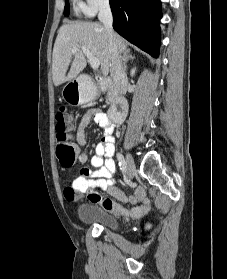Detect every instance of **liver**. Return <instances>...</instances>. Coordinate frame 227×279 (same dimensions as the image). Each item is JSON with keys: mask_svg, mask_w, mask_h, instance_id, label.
<instances>
[{"mask_svg": "<svg viewBox=\"0 0 227 279\" xmlns=\"http://www.w3.org/2000/svg\"><path fill=\"white\" fill-rule=\"evenodd\" d=\"M114 41L118 52L122 53L127 50L125 40L122 37L114 34ZM81 46L90 50L93 56L99 60L103 75H108L111 54L105 27L100 23L93 22H68L60 27L53 48L52 76L55 86L71 81L86 67L87 62ZM74 47H78L76 53L72 52ZM72 56L74 59L67 73Z\"/></svg>", "mask_w": 227, "mask_h": 279, "instance_id": "6515ba94", "label": "liver"}]
</instances>
